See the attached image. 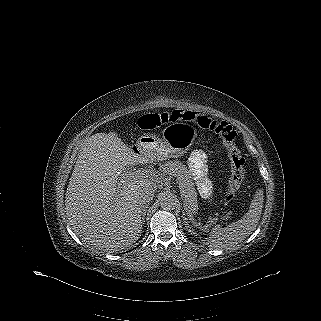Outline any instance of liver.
Here are the masks:
<instances>
[{"label": "liver", "instance_id": "6515ba94", "mask_svg": "<svg viewBox=\"0 0 321 321\" xmlns=\"http://www.w3.org/2000/svg\"><path fill=\"white\" fill-rule=\"evenodd\" d=\"M140 160L116 132L96 133L82 146L65 206L72 229L87 244L116 252L140 238L143 205L139 191L156 184L147 177L122 173L127 165H136Z\"/></svg>", "mask_w": 321, "mask_h": 321}]
</instances>
